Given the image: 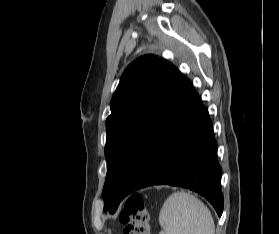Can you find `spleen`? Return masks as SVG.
Listing matches in <instances>:
<instances>
[{
	"instance_id": "spleen-1",
	"label": "spleen",
	"mask_w": 279,
	"mask_h": 234,
	"mask_svg": "<svg viewBox=\"0 0 279 234\" xmlns=\"http://www.w3.org/2000/svg\"><path fill=\"white\" fill-rule=\"evenodd\" d=\"M159 234H215L210 210L195 196L176 192L164 202L159 214Z\"/></svg>"
}]
</instances>
